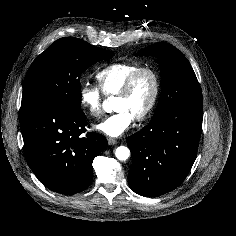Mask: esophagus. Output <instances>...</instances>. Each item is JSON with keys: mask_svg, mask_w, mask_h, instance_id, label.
Wrapping results in <instances>:
<instances>
[{"mask_svg": "<svg viewBox=\"0 0 236 236\" xmlns=\"http://www.w3.org/2000/svg\"><path fill=\"white\" fill-rule=\"evenodd\" d=\"M108 144L109 145H115V144H117V140L114 139V138L109 137L108 138Z\"/></svg>", "mask_w": 236, "mask_h": 236, "instance_id": "34e87169", "label": "esophagus"}]
</instances>
